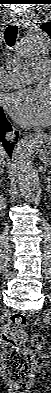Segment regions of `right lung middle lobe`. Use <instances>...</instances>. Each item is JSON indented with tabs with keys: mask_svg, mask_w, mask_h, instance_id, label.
<instances>
[{
	"mask_svg": "<svg viewBox=\"0 0 51 393\" xmlns=\"http://www.w3.org/2000/svg\"><path fill=\"white\" fill-rule=\"evenodd\" d=\"M2 111V108L0 107V112Z\"/></svg>",
	"mask_w": 51,
	"mask_h": 393,
	"instance_id": "obj_1",
	"label": "right lung middle lobe"
}]
</instances>
